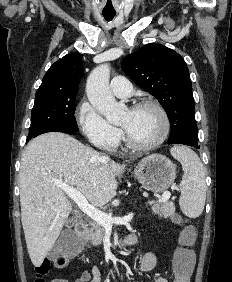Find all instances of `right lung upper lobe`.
Wrapping results in <instances>:
<instances>
[{
    "instance_id": "obj_1",
    "label": "right lung upper lobe",
    "mask_w": 232,
    "mask_h": 282,
    "mask_svg": "<svg viewBox=\"0 0 232 282\" xmlns=\"http://www.w3.org/2000/svg\"><path fill=\"white\" fill-rule=\"evenodd\" d=\"M83 75L82 55L69 54L49 68L36 93L77 94Z\"/></svg>"
}]
</instances>
